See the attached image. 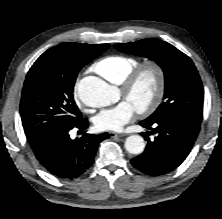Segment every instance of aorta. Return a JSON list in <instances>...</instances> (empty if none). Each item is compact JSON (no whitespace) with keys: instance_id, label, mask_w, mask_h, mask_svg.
Masks as SVG:
<instances>
[{"instance_id":"1","label":"aorta","mask_w":222,"mask_h":219,"mask_svg":"<svg viewBox=\"0 0 222 219\" xmlns=\"http://www.w3.org/2000/svg\"><path fill=\"white\" fill-rule=\"evenodd\" d=\"M80 100L90 107H105L115 100L112 87L96 76L81 79L77 86ZM125 148L131 154H141L145 148L144 139L140 135H131L125 141Z\"/></svg>"}]
</instances>
